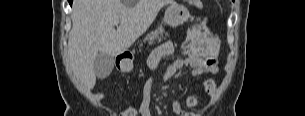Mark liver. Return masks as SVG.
<instances>
[{"label": "liver", "mask_w": 305, "mask_h": 116, "mask_svg": "<svg viewBox=\"0 0 305 116\" xmlns=\"http://www.w3.org/2000/svg\"><path fill=\"white\" fill-rule=\"evenodd\" d=\"M173 0H74L68 39L69 65L86 89L96 83L94 61L99 53L125 52ZM120 25L115 30L114 22Z\"/></svg>", "instance_id": "1"}]
</instances>
